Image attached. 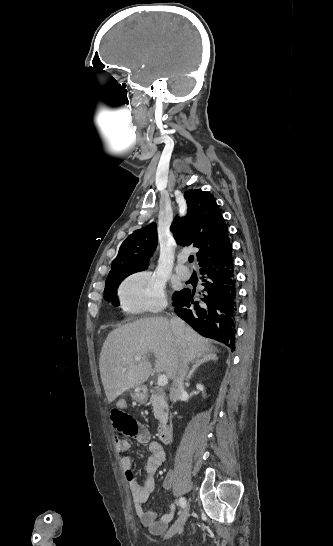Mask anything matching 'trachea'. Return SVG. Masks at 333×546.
Segmentation results:
<instances>
[{
    "instance_id": "1",
    "label": "trachea",
    "mask_w": 333,
    "mask_h": 546,
    "mask_svg": "<svg viewBox=\"0 0 333 546\" xmlns=\"http://www.w3.org/2000/svg\"><path fill=\"white\" fill-rule=\"evenodd\" d=\"M193 260H194V257H193V256H190V257H189V262L192 263Z\"/></svg>"
}]
</instances>
